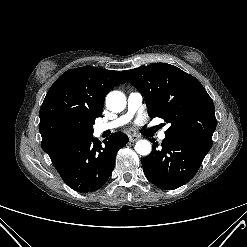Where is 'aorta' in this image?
<instances>
[{
	"label": "aorta",
	"mask_w": 247,
	"mask_h": 247,
	"mask_svg": "<svg viewBox=\"0 0 247 247\" xmlns=\"http://www.w3.org/2000/svg\"><path fill=\"white\" fill-rule=\"evenodd\" d=\"M106 106L112 112H121L126 107V97L120 91H112L106 96ZM139 155L147 156L151 153L152 146L148 140H139L135 145Z\"/></svg>",
	"instance_id": "762f6f07"
}]
</instances>
